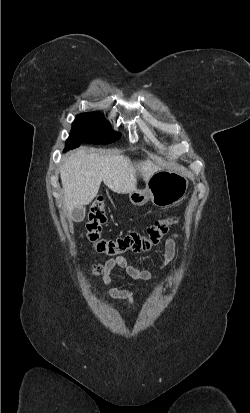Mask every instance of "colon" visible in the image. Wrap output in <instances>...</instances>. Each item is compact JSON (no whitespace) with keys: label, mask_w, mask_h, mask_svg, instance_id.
I'll list each match as a JSON object with an SVG mask.
<instances>
[{"label":"colon","mask_w":250,"mask_h":413,"mask_svg":"<svg viewBox=\"0 0 250 413\" xmlns=\"http://www.w3.org/2000/svg\"><path fill=\"white\" fill-rule=\"evenodd\" d=\"M106 204L102 198H97L91 205L88 222L86 224L87 238L98 253L109 256L127 251L143 252L157 245L167 234L176 220L165 218L150 225L145 232H130L116 239H104L101 236L102 227L106 222Z\"/></svg>","instance_id":"colon-1"}]
</instances>
